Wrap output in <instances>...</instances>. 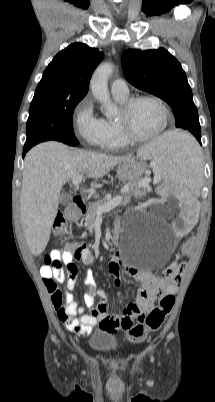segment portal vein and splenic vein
Here are the masks:
<instances>
[{"label":"portal vein and splenic vein","mask_w":215,"mask_h":402,"mask_svg":"<svg viewBox=\"0 0 215 402\" xmlns=\"http://www.w3.org/2000/svg\"><path fill=\"white\" fill-rule=\"evenodd\" d=\"M159 178H160V174L158 175V179H154V183H158L159 182ZM82 181V175H77L75 177L72 178V184L74 186H79L80 183ZM149 182V179H145L143 183H141V186H147V183ZM126 189L122 190V192H125ZM123 200L122 196H117L115 198H113L112 200H110L109 202L105 203L102 206L97 207L96 211H97V215L101 216L103 213L109 212L110 210H112L113 208H115L117 205H119Z\"/></svg>","instance_id":"obj_1"}]
</instances>
